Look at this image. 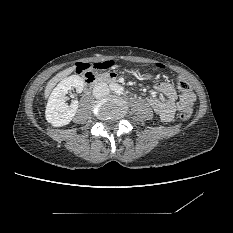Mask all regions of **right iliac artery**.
<instances>
[{
    "instance_id": "right-iliac-artery-1",
    "label": "right iliac artery",
    "mask_w": 233,
    "mask_h": 233,
    "mask_svg": "<svg viewBox=\"0 0 233 233\" xmlns=\"http://www.w3.org/2000/svg\"><path fill=\"white\" fill-rule=\"evenodd\" d=\"M109 87H110V89H111L112 91H115V90L117 89V85L114 84V83L110 84Z\"/></svg>"
}]
</instances>
